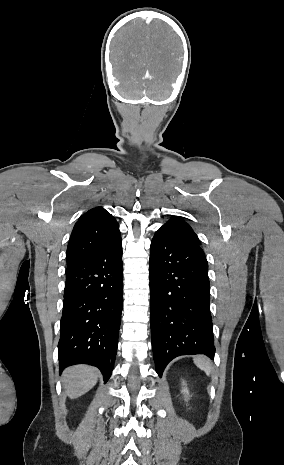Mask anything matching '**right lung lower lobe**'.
Returning <instances> with one entry per match:
<instances>
[{
    "label": "right lung lower lobe",
    "mask_w": 284,
    "mask_h": 465,
    "mask_svg": "<svg viewBox=\"0 0 284 465\" xmlns=\"http://www.w3.org/2000/svg\"><path fill=\"white\" fill-rule=\"evenodd\" d=\"M123 305L121 237L97 255L68 266L58 355L60 373L74 364L112 374Z\"/></svg>",
    "instance_id": "obj_1"
}]
</instances>
